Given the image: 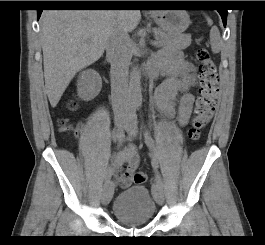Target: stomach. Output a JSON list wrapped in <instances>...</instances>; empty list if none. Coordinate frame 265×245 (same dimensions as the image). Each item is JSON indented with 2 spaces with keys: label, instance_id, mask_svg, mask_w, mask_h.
Returning a JSON list of instances; mask_svg holds the SVG:
<instances>
[{
  "label": "stomach",
  "instance_id": "0dacf381",
  "mask_svg": "<svg viewBox=\"0 0 265 245\" xmlns=\"http://www.w3.org/2000/svg\"><path fill=\"white\" fill-rule=\"evenodd\" d=\"M152 17L163 31L173 36L180 35L190 24L189 15L184 10H157Z\"/></svg>",
  "mask_w": 265,
  "mask_h": 245
}]
</instances>
